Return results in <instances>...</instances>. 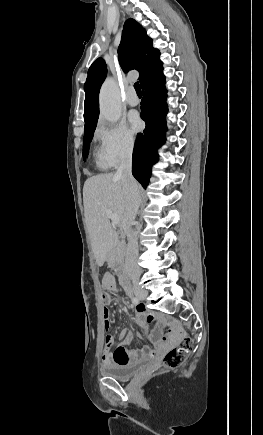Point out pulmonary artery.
I'll return each instance as SVG.
<instances>
[{"label": "pulmonary artery", "instance_id": "obj_1", "mask_svg": "<svg viewBox=\"0 0 263 435\" xmlns=\"http://www.w3.org/2000/svg\"><path fill=\"white\" fill-rule=\"evenodd\" d=\"M126 102L130 106H137L139 104V98L137 97L133 87H130L127 92Z\"/></svg>", "mask_w": 263, "mask_h": 435}]
</instances>
